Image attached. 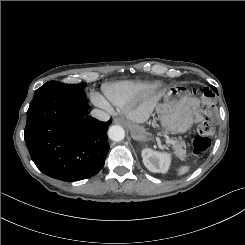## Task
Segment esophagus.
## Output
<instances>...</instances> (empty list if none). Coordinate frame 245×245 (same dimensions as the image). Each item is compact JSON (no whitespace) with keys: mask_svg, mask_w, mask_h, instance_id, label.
I'll return each instance as SVG.
<instances>
[{"mask_svg":"<svg viewBox=\"0 0 245 245\" xmlns=\"http://www.w3.org/2000/svg\"><path fill=\"white\" fill-rule=\"evenodd\" d=\"M113 122H114L115 124H122V123H124V120L121 119V118H114V119H113Z\"/></svg>","mask_w":245,"mask_h":245,"instance_id":"esophagus-1","label":"esophagus"}]
</instances>
